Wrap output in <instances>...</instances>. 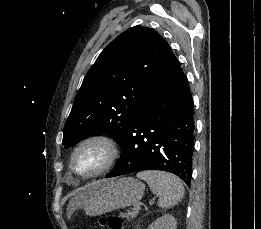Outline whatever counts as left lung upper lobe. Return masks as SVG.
<instances>
[{"label":"left lung upper lobe","instance_id":"1","mask_svg":"<svg viewBox=\"0 0 261 229\" xmlns=\"http://www.w3.org/2000/svg\"><path fill=\"white\" fill-rule=\"evenodd\" d=\"M179 68L158 32L129 28L87 72L64 126L62 144L68 148L89 136L108 133L121 146L149 94Z\"/></svg>","mask_w":261,"mask_h":229}]
</instances>
